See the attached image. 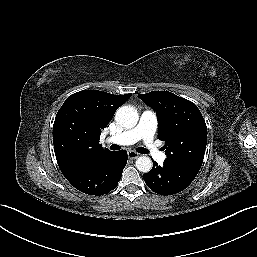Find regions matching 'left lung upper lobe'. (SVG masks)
Masks as SVG:
<instances>
[{"mask_svg":"<svg viewBox=\"0 0 257 257\" xmlns=\"http://www.w3.org/2000/svg\"><path fill=\"white\" fill-rule=\"evenodd\" d=\"M138 96L156 111L159 139L165 141L166 160L200 169L207 144V127L198 107L169 91Z\"/></svg>","mask_w":257,"mask_h":257,"instance_id":"obj_1","label":"left lung upper lobe"}]
</instances>
